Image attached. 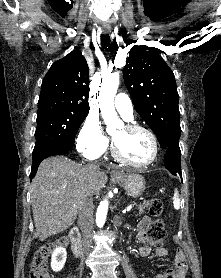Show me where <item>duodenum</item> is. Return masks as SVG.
<instances>
[{
    "label": "duodenum",
    "mask_w": 221,
    "mask_h": 278,
    "mask_svg": "<svg viewBox=\"0 0 221 278\" xmlns=\"http://www.w3.org/2000/svg\"><path fill=\"white\" fill-rule=\"evenodd\" d=\"M70 241H71V249L75 256H78L81 252V234L78 228H73L70 231Z\"/></svg>",
    "instance_id": "duodenum-1"
}]
</instances>
